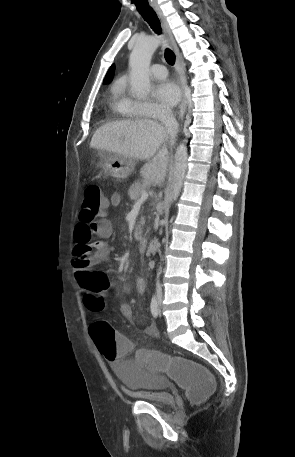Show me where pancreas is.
Returning a JSON list of instances; mask_svg holds the SVG:
<instances>
[{"label": "pancreas", "instance_id": "pancreas-1", "mask_svg": "<svg viewBox=\"0 0 295 457\" xmlns=\"http://www.w3.org/2000/svg\"><path fill=\"white\" fill-rule=\"evenodd\" d=\"M146 191V186L140 182H135L128 190V195L131 200L137 201L141 194ZM144 224V217H141L139 224L135 229V237L139 238L142 233V225Z\"/></svg>", "mask_w": 295, "mask_h": 457}]
</instances>
